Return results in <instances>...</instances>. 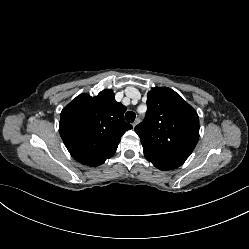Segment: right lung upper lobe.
Masks as SVG:
<instances>
[{
  "label": "right lung upper lobe",
  "instance_id": "cb5924a9",
  "mask_svg": "<svg viewBox=\"0 0 249 249\" xmlns=\"http://www.w3.org/2000/svg\"><path fill=\"white\" fill-rule=\"evenodd\" d=\"M125 111L112 90L95 97L83 93L73 99L62 110L59 123L61 138L72 157L91 166L113 156L123 134L132 128L124 120Z\"/></svg>",
  "mask_w": 249,
  "mask_h": 249
}]
</instances>
